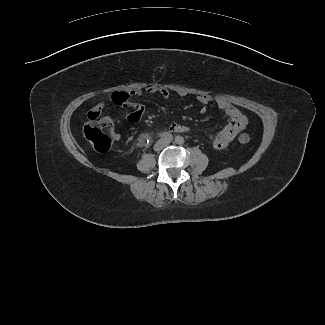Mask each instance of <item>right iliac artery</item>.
I'll return each mask as SVG.
<instances>
[{"label":"right iliac artery","mask_w":325,"mask_h":325,"mask_svg":"<svg viewBox=\"0 0 325 325\" xmlns=\"http://www.w3.org/2000/svg\"><path fill=\"white\" fill-rule=\"evenodd\" d=\"M159 137L163 140H166V141H172L173 140V136L172 134L168 133V132H164V133H160L159 134Z\"/></svg>","instance_id":"right-iliac-artery-1"}]
</instances>
